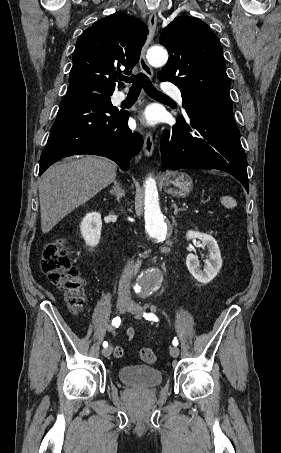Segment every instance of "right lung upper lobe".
<instances>
[{"instance_id": "cb5924a9", "label": "right lung upper lobe", "mask_w": 281, "mask_h": 453, "mask_svg": "<svg viewBox=\"0 0 281 453\" xmlns=\"http://www.w3.org/2000/svg\"><path fill=\"white\" fill-rule=\"evenodd\" d=\"M146 29L143 22L122 12L86 29L76 43L66 96L112 95L117 81L114 74L124 68L129 75L138 62Z\"/></svg>"}]
</instances>
